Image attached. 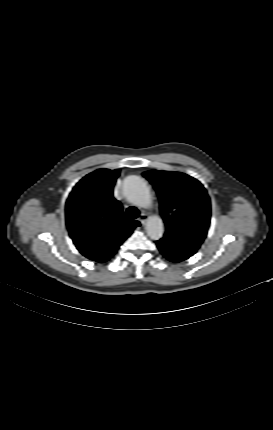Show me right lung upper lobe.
Masks as SVG:
<instances>
[{
    "instance_id": "right-lung-upper-lobe-1",
    "label": "right lung upper lobe",
    "mask_w": 273,
    "mask_h": 430,
    "mask_svg": "<svg viewBox=\"0 0 273 430\" xmlns=\"http://www.w3.org/2000/svg\"><path fill=\"white\" fill-rule=\"evenodd\" d=\"M120 170L99 169L80 180L66 202V224L77 249L97 262L107 261L140 223L125 221L113 197Z\"/></svg>"
}]
</instances>
